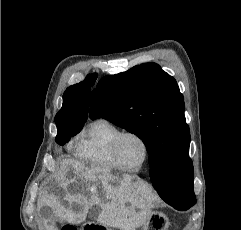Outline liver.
<instances>
[{"label":"liver","instance_id":"obj_1","mask_svg":"<svg viewBox=\"0 0 241 230\" xmlns=\"http://www.w3.org/2000/svg\"><path fill=\"white\" fill-rule=\"evenodd\" d=\"M69 165L71 169L66 170L67 178H63L60 185L67 194L65 199L70 206L62 205L55 195L45 192L38 198V209L49 206L56 217L74 224L85 220L89 209L96 205L100 208L97 216L100 224L121 230H135L145 223L151 213L153 200L145 186L132 183V178L126 175L119 179L108 168L85 167L77 161H71ZM78 179H84L85 184H82L80 193L70 195ZM116 181L119 183L117 187L114 186ZM73 203L79 210L73 209ZM47 229L55 230L54 226H47Z\"/></svg>","mask_w":241,"mask_h":230}]
</instances>
